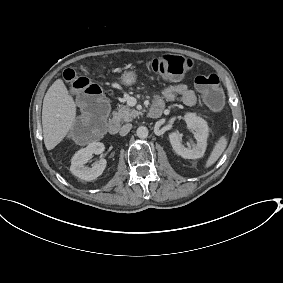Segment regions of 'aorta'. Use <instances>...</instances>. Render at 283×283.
<instances>
[{
    "mask_svg": "<svg viewBox=\"0 0 283 283\" xmlns=\"http://www.w3.org/2000/svg\"><path fill=\"white\" fill-rule=\"evenodd\" d=\"M148 129L145 126H140L137 128L136 134L139 138H146L148 136Z\"/></svg>",
    "mask_w": 283,
    "mask_h": 283,
    "instance_id": "1",
    "label": "aorta"
}]
</instances>
